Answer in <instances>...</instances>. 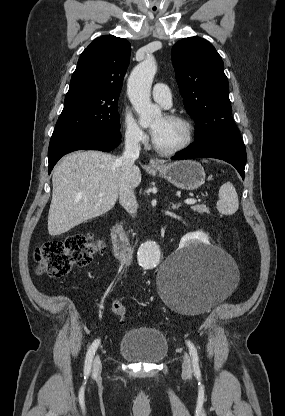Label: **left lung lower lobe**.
I'll use <instances>...</instances> for the list:
<instances>
[{
  "instance_id": "1",
  "label": "left lung lower lobe",
  "mask_w": 285,
  "mask_h": 416,
  "mask_svg": "<svg viewBox=\"0 0 285 416\" xmlns=\"http://www.w3.org/2000/svg\"><path fill=\"white\" fill-rule=\"evenodd\" d=\"M186 149L172 157L174 160L216 158L233 165L244 179L246 149L239 130L226 128L206 134Z\"/></svg>"
}]
</instances>
